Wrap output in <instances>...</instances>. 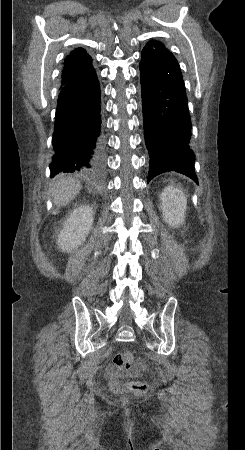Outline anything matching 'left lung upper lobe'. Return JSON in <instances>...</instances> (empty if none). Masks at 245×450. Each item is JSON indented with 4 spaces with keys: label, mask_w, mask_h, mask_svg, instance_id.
Wrapping results in <instances>:
<instances>
[{
    "label": "left lung upper lobe",
    "mask_w": 245,
    "mask_h": 450,
    "mask_svg": "<svg viewBox=\"0 0 245 450\" xmlns=\"http://www.w3.org/2000/svg\"><path fill=\"white\" fill-rule=\"evenodd\" d=\"M141 61L155 63L158 61H166L171 63L179 72L180 66L173 54L164 47L159 41H149L141 53Z\"/></svg>",
    "instance_id": "obj_1"
}]
</instances>
